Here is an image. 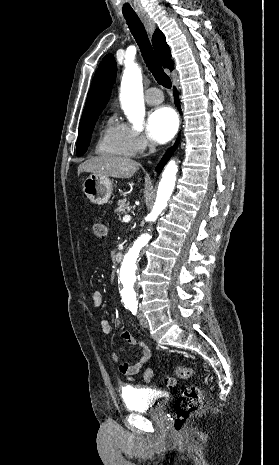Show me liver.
<instances>
[{
  "mask_svg": "<svg viewBox=\"0 0 279 465\" xmlns=\"http://www.w3.org/2000/svg\"><path fill=\"white\" fill-rule=\"evenodd\" d=\"M140 163L128 158L113 155L92 157L80 164L78 174L91 172L105 177L127 179L139 169Z\"/></svg>",
  "mask_w": 279,
  "mask_h": 465,
  "instance_id": "6515ba94",
  "label": "liver"
}]
</instances>
